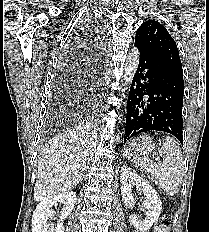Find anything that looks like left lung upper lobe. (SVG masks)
Returning a JSON list of instances; mask_svg holds the SVG:
<instances>
[{
  "label": "left lung upper lobe",
  "instance_id": "5c2ea615",
  "mask_svg": "<svg viewBox=\"0 0 209 232\" xmlns=\"http://www.w3.org/2000/svg\"><path fill=\"white\" fill-rule=\"evenodd\" d=\"M135 46L163 67L183 72L177 45L166 28L158 21H145L137 29Z\"/></svg>",
  "mask_w": 209,
  "mask_h": 232
}]
</instances>
